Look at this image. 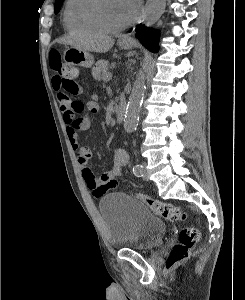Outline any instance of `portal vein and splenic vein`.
Segmentation results:
<instances>
[{"instance_id": "obj_1", "label": "portal vein and splenic vein", "mask_w": 245, "mask_h": 300, "mask_svg": "<svg viewBox=\"0 0 245 300\" xmlns=\"http://www.w3.org/2000/svg\"><path fill=\"white\" fill-rule=\"evenodd\" d=\"M107 78H108V79H111V78H112V73H109V74L107 75Z\"/></svg>"}]
</instances>
